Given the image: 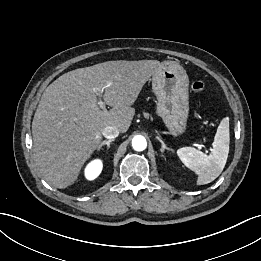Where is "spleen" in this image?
Instances as JSON below:
<instances>
[{
  "label": "spleen",
  "mask_w": 261,
  "mask_h": 261,
  "mask_svg": "<svg viewBox=\"0 0 261 261\" xmlns=\"http://www.w3.org/2000/svg\"><path fill=\"white\" fill-rule=\"evenodd\" d=\"M229 118L221 120L212 143L209 155L193 148L183 147L177 150V155L186 167L198 175L197 185L214 181L223 171L229 153Z\"/></svg>",
  "instance_id": "obj_1"
}]
</instances>
